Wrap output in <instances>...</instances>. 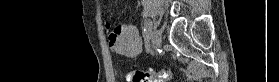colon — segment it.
<instances>
[{
  "mask_svg": "<svg viewBox=\"0 0 279 82\" xmlns=\"http://www.w3.org/2000/svg\"><path fill=\"white\" fill-rule=\"evenodd\" d=\"M171 70H132L126 75V82H168L171 78Z\"/></svg>",
  "mask_w": 279,
  "mask_h": 82,
  "instance_id": "colon-1",
  "label": "colon"
}]
</instances>
